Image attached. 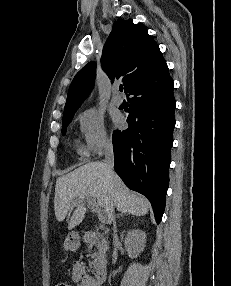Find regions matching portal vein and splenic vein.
<instances>
[{
    "label": "portal vein and splenic vein",
    "mask_w": 231,
    "mask_h": 286,
    "mask_svg": "<svg viewBox=\"0 0 231 286\" xmlns=\"http://www.w3.org/2000/svg\"><path fill=\"white\" fill-rule=\"evenodd\" d=\"M89 205L91 206V208L93 210H95L97 212V215H98V219L101 223L105 222L106 221V216H105V213L102 209H100L98 206V203L94 200V199H87ZM76 202H73V205H75Z\"/></svg>",
    "instance_id": "obj_1"
}]
</instances>
